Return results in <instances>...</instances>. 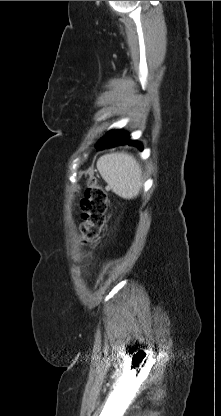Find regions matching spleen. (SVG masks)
I'll return each instance as SVG.
<instances>
[{
    "mask_svg": "<svg viewBox=\"0 0 221 416\" xmlns=\"http://www.w3.org/2000/svg\"><path fill=\"white\" fill-rule=\"evenodd\" d=\"M97 169L118 196L132 199L139 194L142 169L132 155L125 152L105 154L98 159Z\"/></svg>",
    "mask_w": 221,
    "mask_h": 416,
    "instance_id": "1",
    "label": "spleen"
}]
</instances>
